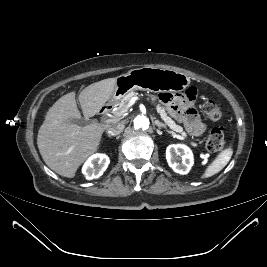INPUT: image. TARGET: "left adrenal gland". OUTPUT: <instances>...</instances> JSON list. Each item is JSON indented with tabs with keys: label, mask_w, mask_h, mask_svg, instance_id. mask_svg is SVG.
<instances>
[{
	"label": "left adrenal gland",
	"mask_w": 267,
	"mask_h": 267,
	"mask_svg": "<svg viewBox=\"0 0 267 267\" xmlns=\"http://www.w3.org/2000/svg\"><path fill=\"white\" fill-rule=\"evenodd\" d=\"M155 124L157 125V127L159 128V130H160L161 128H165V129H167V128H166V125H165L164 123L160 122L159 120H155Z\"/></svg>",
	"instance_id": "obj_1"
}]
</instances>
